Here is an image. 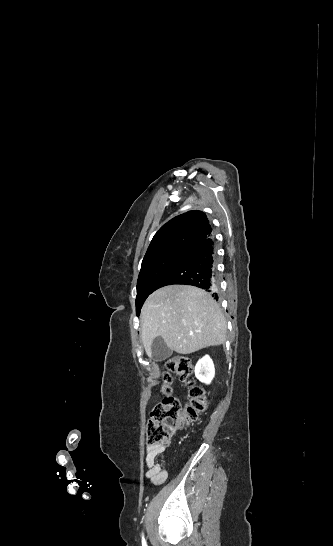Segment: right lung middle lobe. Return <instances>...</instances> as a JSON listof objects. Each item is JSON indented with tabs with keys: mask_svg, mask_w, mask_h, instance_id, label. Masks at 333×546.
Returning a JSON list of instances; mask_svg holds the SVG:
<instances>
[{
	"mask_svg": "<svg viewBox=\"0 0 333 546\" xmlns=\"http://www.w3.org/2000/svg\"><path fill=\"white\" fill-rule=\"evenodd\" d=\"M190 249L185 247L168 248L143 259L137 283V314L146 298L156 290V284L161 276Z\"/></svg>",
	"mask_w": 333,
	"mask_h": 546,
	"instance_id": "obj_1",
	"label": "right lung middle lobe"
}]
</instances>
